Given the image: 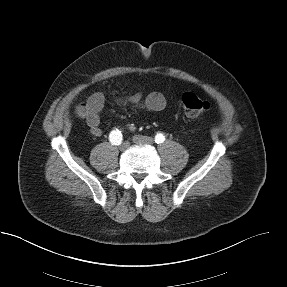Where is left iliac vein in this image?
Wrapping results in <instances>:
<instances>
[{
    "label": "left iliac vein",
    "mask_w": 287,
    "mask_h": 287,
    "mask_svg": "<svg viewBox=\"0 0 287 287\" xmlns=\"http://www.w3.org/2000/svg\"><path fill=\"white\" fill-rule=\"evenodd\" d=\"M133 142L139 145H144V144L151 145L154 143V140L148 136L135 135L133 137Z\"/></svg>",
    "instance_id": "left-iliac-vein-1"
}]
</instances>
